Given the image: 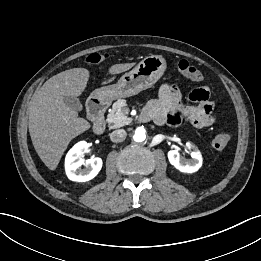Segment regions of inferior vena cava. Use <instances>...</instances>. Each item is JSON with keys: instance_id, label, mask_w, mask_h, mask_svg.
<instances>
[{"instance_id": "602c4592", "label": "inferior vena cava", "mask_w": 261, "mask_h": 261, "mask_svg": "<svg viewBox=\"0 0 261 261\" xmlns=\"http://www.w3.org/2000/svg\"><path fill=\"white\" fill-rule=\"evenodd\" d=\"M126 131L123 129L114 130L110 133V139L112 142L119 143L123 142L126 138Z\"/></svg>"}]
</instances>
